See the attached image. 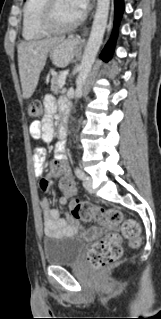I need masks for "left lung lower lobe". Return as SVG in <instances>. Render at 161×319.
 Instances as JSON below:
<instances>
[{
	"label": "left lung lower lobe",
	"instance_id": "left-lung-lower-lobe-1",
	"mask_svg": "<svg viewBox=\"0 0 161 319\" xmlns=\"http://www.w3.org/2000/svg\"><path fill=\"white\" fill-rule=\"evenodd\" d=\"M115 3V27L113 34L111 36V39L106 44L105 48L103 49L101 53V58H103L105 61H108L114 50L115 41L117 38V29L120 22V19L122 17L123 11H124V0H114Z\"/></svg>",
	"mask_w": 161,
	"mask_h": 319
}]
</instances>
